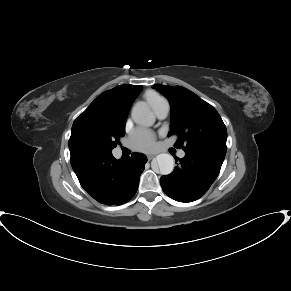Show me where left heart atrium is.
Masks as SVG:
<instances>
[{
    "label": "left heart atrium",
    "instance_id": "1",
    "mask_svg": "<svg viewBox=\"0 0 291 291\" xmlns=\"http://www.w3.org/2000/svg\"><path fill=\"white\" fill-rule=\"evenodd\" d=\"M156 136L145 129H137L131 136V145L139 151H150L155 147Z\"/></svg>",
    "mask_w": 291,
    "mask_h": 291
}]
</instances>
